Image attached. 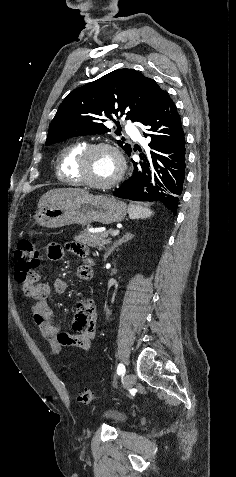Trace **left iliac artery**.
<instances>
[{
    "instance_id": "44dca946",
    "label": "left iliac artery",
    "mask_w": 236,
    "mask_h": 477,
    "mask_svg": "<svg viewBox=\"0 0 236 477\" xmlns=\"http://www.w3.org/2000/svg\"><path fill=\"white\" fill-rule=\"evenodd\" d=\"M124 372H125V366L122 363H120L117 367V374L121 375Z\"/></svg>"
}]
</instances>
